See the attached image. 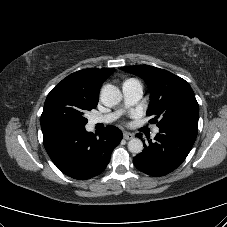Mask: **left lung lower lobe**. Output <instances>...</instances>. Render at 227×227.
<instances>
[{
	"mask_svg": "<svg viewBox=\"0 0 227 227\" xmlns=\"http://www.w3.org/2000/svg\"><path fill=\"white\" fill-rule=\"evenodd\" d=\"M142 137L141 134H137ZM197 132L187 128L163 127L154 141L144 144V150L133 158L135 167L151 176H163L175 170L189 154Z\"/></svg>",
	"mask_w": 227,
	"mask_h": 227,
	"instance_id": "obj_1",
	"label": "left lung lower lobe"
}]
</instances>
